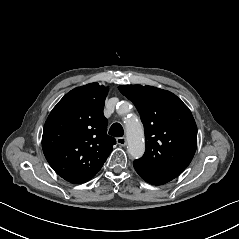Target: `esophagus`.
<instances>
[{"instance_id":"esophagus-1","label":"esophagus","mask_w":239,"mask_h":239,"mask_svg":"<svg viewBox=\"0 0 239 239\" xmlns=\"http://www.w3.org/2000/svg\"><path fill=\"white\" fill-rule=\"evenodd\" d=\"M117 143L121 146H125L127 144L126 138L125 137H119L117 138Z\"/></svg>"}]
</instances>
